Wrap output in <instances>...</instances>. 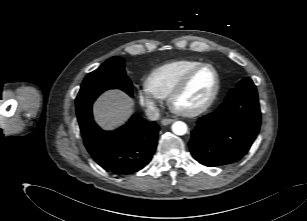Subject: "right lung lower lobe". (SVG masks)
Here are the masks:
<instances>
[{"mask_svg":"<svg viewBox=\"0 0 307 221\" xmlns=\"http://www.w3.org/2000/svg\"><path fill=\"white\" fill-rule=\"evenodd\" d=\"M77 116L85 147L105 170L117 175L131 174L152 159L160 129L155 122L134 114L124 126L104 131L93 120L92 106Z\"/></svg>","mask_w":307,"mask_h":221,"instance_id":"98d812e1","label":"right lung lower lobe"}]
</instances>
